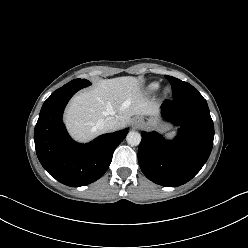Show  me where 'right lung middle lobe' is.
<instances>
[{
  "mask_svg": "<svg viewBox=\"0 0 248 248\" xmlns=\"http://www.w3.org/2000/svg\"><path fill=\"white\" fill-rule=\"evenodd\" d=\"M91 83L86 79H75L65 84L63 87L80 86L81 88L89 86Z\"/></svg>",
  "mask_w": 248,
  "mask_h": 248,
  "instance_id": "obj_1",
  "label": "right lung middle lobe"
}]
</instances>
